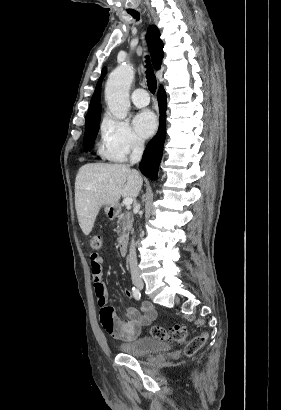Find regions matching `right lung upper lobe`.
<instances>
[{"label":"right lung upper lobe","mask_w":281,"mask_h":410,"mask_svg":"<svg viewBox=\"0 0 281 410\" xmlns=\"http://www.w3.org/2000/svg\"><path fill=\"white\" fill-rule=\"evenodd\" d=\"M147 39L150 46V53L152 58V63L155 69H159L163 59V42L160 39V32L155 25H151L147 31ZM106 69L102 71V76L99 79L94 94L92 96L88 114L86 115V121L100 117L101 114V104H100V94H101V81L105 76Z\"/></svg>","instance_id":"right-lung-upper-lobe-1"}]
</instances>
